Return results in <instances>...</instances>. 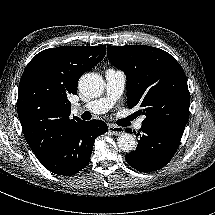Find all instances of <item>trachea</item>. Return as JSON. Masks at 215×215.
<instances>
[{
    "label": "trachea",
    "mask_w": 215,
    "mask_h": 215,
    "mask_svg": "<svg viewBox=\"0 0 215 215\" xmlns=\"http://www.w3.org/2000/svg\"><path fill=\"white\" fill-rule=\"evenodd\" d=\"M89 114H90L89 112H85L83 114V116H86ZM135 118H136L135 114H132V115L128 116L127 118L123 119V125L122 126H128L130 124V121H132Z\"/></svg>",
    "instance_id": "obj_1"
}]
</instances>
